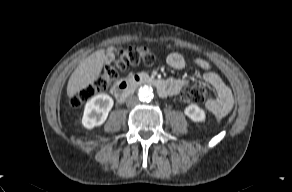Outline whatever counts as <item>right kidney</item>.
Wrapping results in <instances>:
<instances>
[{
  "label": "right kidney",
  "instance_id": "1",
  "mask_svg": "<svg viewBox=\"0 0 292 192\" xmlns=\"http://www.w3.org/2000/svg\"><path fill=\"white\" fill-rule=\"evenodd\" d=\"M113 104V99L105 93L94 96L85 105L82 118L83 126L92 129L102 125L106 121Z\"/></svg>",
  "mask_w": 292,
  "mask_h": 192
}]
</instances>
